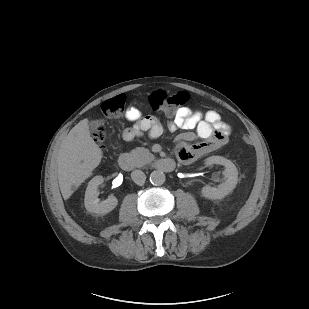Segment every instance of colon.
<instances>
[{
    "label": "colon",
    "mask_w": 309,
    "mask_h": 309,
    "mask_svg": "<svg viewBox=\"0 0 309 309\" xmlns=\"http://www.w3.org/2000/svg\"><path fill=\"white\" fill-rule=\"evenodd\" d=\"M188 100V94L179 91L173 94H167L164 91H158L150 96V104L152 108L167 116H172L176 110L184 105ZM126 98L118 96L113 99L104 101L101 105L102 113L109 118H120L124 113ZM95 138L102 148L105 147V141L108 138V132L105 126L99 125L95 130ZM242 140L245 144L250 145L252 138L250 134L244 133Z\"/></svg>",
    "instance_id": "colon-1"
}]
</instances>
